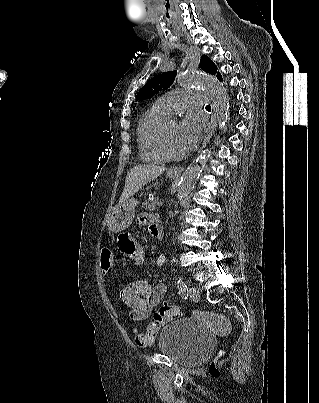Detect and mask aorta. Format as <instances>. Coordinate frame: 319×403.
Wrapping results in <instances>:
<instances>
[{
    "instance_id": "obj_1",
    "label": "aorta",
    "mask_w": 319,
    "mask_h": 403,
    "mask_svg": "<svg viewBox=\"0 0 319 403\" xmlns=\"http://www.w3.org/2000/svg\"><path fill=\"white\" fill-rule=\"evenodd\" d=\"M178 82L185 87L205 89L213 101L219 128L223 129L226 126L229 115V98L226 88L216 77L204 74H185L178 78ZM210 155V150H204L185 170L177 190L178 199H183L192 190Z\"/></svg>"
}]
</instances>
